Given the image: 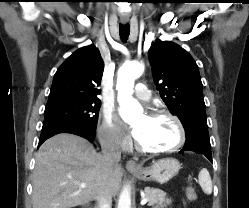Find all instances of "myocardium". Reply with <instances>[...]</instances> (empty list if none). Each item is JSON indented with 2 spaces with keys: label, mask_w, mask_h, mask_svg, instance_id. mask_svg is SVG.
<instances>
[{
  "label": "myocardium",
  "mask_w": 249,
  "mask_h": 208,
  "mask_svg": "<svg viewBox=\"0 0 249 208\" xmlns=\"http://www.w3.org/2000/svg\"><path fill=\"white\" fill-rule=\"evenodd\" d=\"M149 116L150 117H167L173 120L175 124L177 125L178 131H179V139H178V142L174 146L170 148H166V149H148V148L143 147L136 140L135 147L139 152L144 153V154H149V155L168 154V153H173L177 151L184 145L186 141V129H185L183 122L178 116L163 109H155L149 113Z\"/></svg>",
  "instance_id": "1"
}]
</instances>
